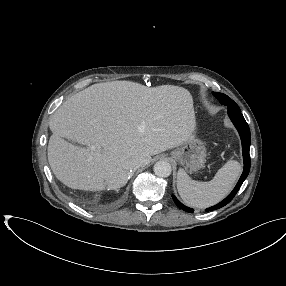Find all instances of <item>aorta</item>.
<instances>
[{"instance_id":"obj_1","label":"aorta","mask_w":286,"mask_h":286,"mask_svg":"<svg viewBox=\"0 0 286 286\" xmlns=\"http://www.w3.org/2000/svg\"><path fill=\"white\" fill-rule=\"evenodd\" d=\"M154 173L159 177H168L172 172V168L169 162L161 160L155 163Z\"/></svg>"}]
</instances>
